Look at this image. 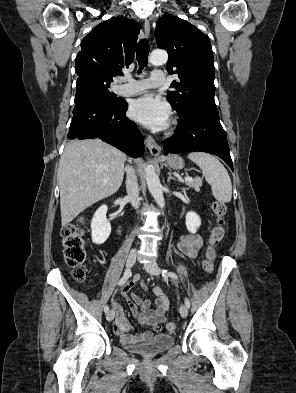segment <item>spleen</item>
Instances as JSON below:
<instances>
[{
	"instance_id": "obj_1",
	"label": "spleen",
	"mask_w": 296,
	"mask_h": 393,
	"mask_svg": "<svg viewBox=\"0 0 296 393\" xmlns=\"http://www.w3.org/2000/svg\"><path fill=\"white\" fill-rule=\"evenodd\" d=\"M188 158L202 170L203 176L211 185L214 198L219 202H230L232 183L227 170L220 161L204 152H192Z\"/></svg>"
}]
</instances>
